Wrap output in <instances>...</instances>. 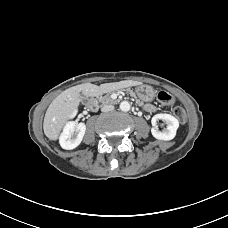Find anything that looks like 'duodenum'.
<instances>
[{"label":"duodenum","mask_w":228,"mask_h":228,"mask_svg":"<svg viewBox=\"0 0 228 228\" xmlns=\"http://www.w3.org/2000/svg\"><path fill=\"white\" fill-rule=\"evenodd\" d=\"M87 104L92 110L97 109V101L94 98L89 99Z\"/></svg>","instance_id":"1"}]
</instances>
